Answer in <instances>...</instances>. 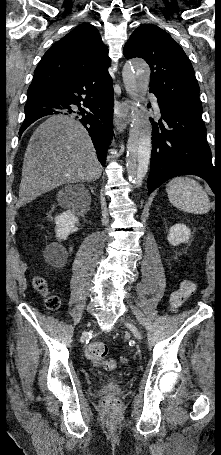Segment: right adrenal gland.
<instances>
[{"instance_id":"right-adrenal-gland-1","label":"right adrenal gland","mask_w":221,"mask_h":455,"mask_svg":"<svg viewBox=\"0 0 221 455\" xmlns=\"http://www.w3.org/2000/svg\"><path fill=\"white\" fill-rule=\"evenodd\" d=\"M91 192L95 195L93 187H90Z\"/></svg>"}]
</instances>
